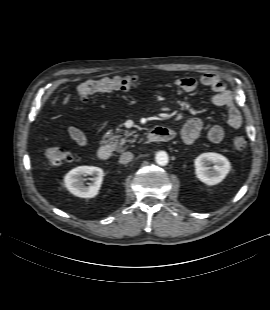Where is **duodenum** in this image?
I'll return each mask as SVG.
<instances>
[{
    "label": "duodenum",
    "instance_id": "410a0bca",
    "mask_svg": "<svg viewBox=\"0 0 270 310\" xmlns=\"http://www.w3.org/2000/svg\"><path fill=\"white\" fill-rule=\"evenodd\" d=\"M175 132L172 129L163 126L153 127L148 133L150 142L168 141L173 139ZM112 155V150L108 145H101L97 150V156L100 160H108Z\"/></svg>",
    "mask_w": 270,
    "mask_h": 310
}]
</instances>
